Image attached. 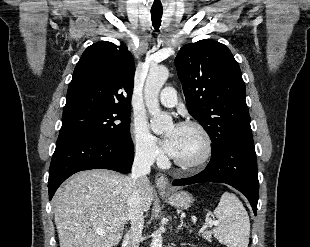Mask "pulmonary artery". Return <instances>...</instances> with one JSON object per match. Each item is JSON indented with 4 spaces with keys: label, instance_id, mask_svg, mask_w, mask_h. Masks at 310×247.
<instances>
[{
    "label": "pulmonary artery",
    "instance_id": "pulmonary-artery-1",
    "mask_svg": "<svg viewBox=\"0 0 310 247\" xmlns=\"http://www.w3.org/2000/svg\"><path fill=\"white\" fill-rule=\"evenodd\" d=\"M160 102L166 107H174L178 102L177 93L174 88L166 87L160 93Z\"/></svg>",
    "mask_w": 310,
    "mask_h": 247
}]
</instances>
